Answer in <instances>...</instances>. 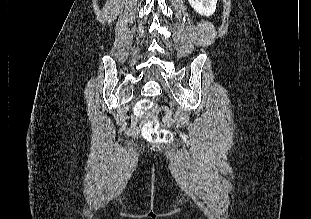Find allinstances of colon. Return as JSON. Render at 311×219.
<instances>
[{"label": "colon", "mask_w": 311, "mask_h": 219, "mask_svg": "<svg viewBox=\"0 0 311 219\" xmlns=\"http://www.w3.org/2000/svg\"><path fill=\"white\" fill-rule=\"evenodd\" d=\"M136 115L145 120L143 136L152 143H168L173 140L172 132L162 127L158 118V109L152 101L142 100L135 107Z\"/></svg>", "instance_id": "5ec220e1"}]
</instances>
